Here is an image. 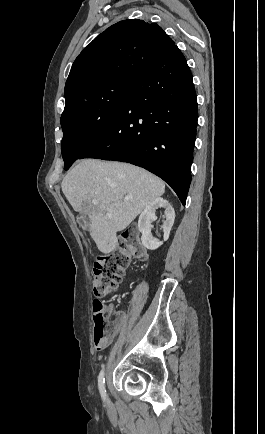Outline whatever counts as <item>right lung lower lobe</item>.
<instances>
[{
    "label": "right lung lower lobe",
    "mask_w": 265,
    "mask_h": 434,
    "mask_svg": "<svg viewBox=\"0 0 265 434\" xmlns=\"http://www.w3.org/2000/svg\"><path fill=\"white\" fill-rule=\"evenodd\" d=\"M187 61L174 45L136 76L114 122L79 159L128 162L167 182L185 205L198 119Z\"/></svg>",
    "instance_id": "right-lung-lower-lobe-1"
}]
</instances>
